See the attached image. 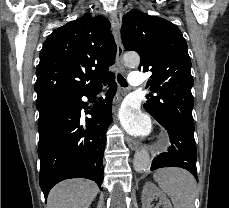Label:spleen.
Masks as SVG:
<instances>
[{
	"label": "spleen",
	"instance_id": "3e777b00",
	"mask_svg": "<svg viewBox=\"0 0 229 208\" xmlns=\"http://www.w3.org/2000/svg\"><path fill=\"white\" fill-rule=\"evenodd\" d=\"M159 188L171 198L174 208H194L196 180L181 168H162L153 176Z\"/></svg>",
	"mask_w": 229,
	"mask_h": 208
}]
</instances>
